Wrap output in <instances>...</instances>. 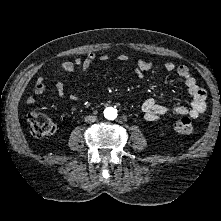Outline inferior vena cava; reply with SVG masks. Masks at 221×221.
<instances>
[{
  "mask_svg": "<svg viewBox=\"0 0 221 221\" xmlns=\"http://www.w3.org/2000/svg\"><path fill=\"white\" fill-rule=\"evenodd\" d=\"M96 119H97L96 116H94V115H89V116L85 117V122H87V123H93V122L96 121Z\"/></svg>",
  "mask_w": 221,
  "mask_h": 221,
  "instance_id": "obj_1",
  "label": "inferior vena cava"
}]
</instances>
